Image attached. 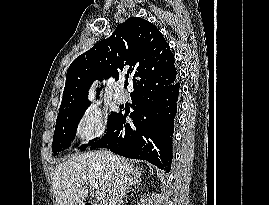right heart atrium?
Returning a JSON list of instances; mask_svg holds the SVG:
<instances>
[{"label":"right heart atrium","mask_w":269,"mask_h":205,"mask_svg":"<svg viewBox=\"0 0 269 205\" xmlns=\"http://www.w3.org/2000/svg\"><path fill=\"white\" fill-rule=\"evenodd\" d=\"M108 128V116L99 108L86 109L74 125V133L80 143L88 144L102 137Z\"/></svg>","instance_id":"right-heart-atrium-1"}]
</instances>
